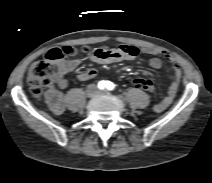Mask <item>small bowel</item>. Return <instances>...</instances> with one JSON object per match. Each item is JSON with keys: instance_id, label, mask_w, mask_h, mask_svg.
Masks as SVG:
<instances>
[{"instance_id": "obj_1", "label": "small bowel", "mask_w": 212, "mask_h": 183, "mask_svg": "<svg viewBox=\"0 0 212 183\" xmlns=\"http://www.w3.org/2000/svg\"><path fill=\"white\" fill-rule=\"evenodd\" d=\"M140 53L151 56L149 60V65L154 69L162 67L163 65L162 57H164L172 67L173 82L168 88L166 95L153 107L155 112L157 113L162 112L172 103L178 91L181 79L180 66L178 64L177 59L172 54L158 48L146 47L138 49L137 47L132 45H120L117 48L103 47L94 49L91 53V60L97 64H109L114 62L132 60L135 57H137L138 54ZM79 63H80L79 59L62 60L61 62H59L54 75L55 83L59 87L65 88L67 86V81L65 80V74L74 70L79 65ZM95 76H96V70L93 68L80 71L77 75L78 79L81 81L92 79ZM149 80L153 83L151 79ZM154 88L155 87L153 83V88L151 91H153ZM45 98L50 110L53 113L61 114L65 110L64 96L63 93L58 89L50 88L46 92Z\"/></svg>"}]
</instances>
